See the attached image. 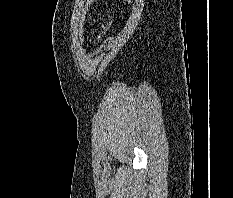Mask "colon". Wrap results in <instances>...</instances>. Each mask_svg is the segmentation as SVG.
Wrapping results in <instances>:
<instances>
[{
    "instance_id": "5ec220e1",
    "label": "colon",
    "mask_w": 233,
    "mask_h": 198,
    "mask_svg": "<svg viewBox=\"0 0 233 198\" xmlns=\"http://www.w3.org/2000/svg\"><path fill=\"white\" fill-rule=\"evenodd\" d=\"M113 24H114V20L110 21V22L106 25V27L103 29L102 33L99 35L98 38L100 39L101 37H103V36L110 30V28L112 27Z\"/></svg>"
}]
</instances>
